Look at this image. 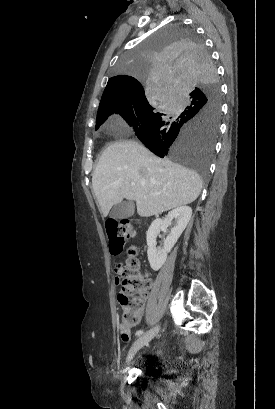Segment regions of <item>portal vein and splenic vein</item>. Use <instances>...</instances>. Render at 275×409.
<instances>
[{
	"instance_id": "1",
	"label": "portal vein and splenic vein",
	"mask_w": 275,
	"mask_h": 409,
	"mask_svg": "<svg viewBox=\"0 0 275 409\" xmlns=\"http://www.w3.org/2000/svg\"><path fill=\"white\" fill-rule=\"evenodd\" d=\"M132 186H134L135 182H131Z\"/></svg>"
}]
</instances>
